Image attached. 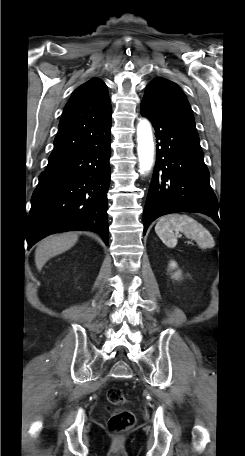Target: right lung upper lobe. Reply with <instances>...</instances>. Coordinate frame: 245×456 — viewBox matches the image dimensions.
Masks as SVG:
<instances>
[{
  "mask_svg": "<svg viewBox=\"0 0 245 456\" xmlns=\"http://www.w3.org/2000/svg\"><path fill=\"white\" fill-rule=\"evenodd\" d=\"M111 102L105 83L92 78L78 87L67 102L49 161L56 160L95 142L111 127Z\"/></svg>",
  "mask_w": 245,
  "mask_h": 456,
  "instance_id": "cb5924a9",
  "label": "right lung upper lobe"
}]
</instances>
